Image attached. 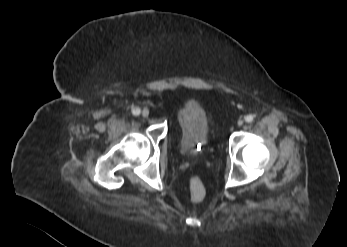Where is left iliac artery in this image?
<instances>
[{
  "instance_id": "obj_1",
  "label": "left iliac artery",
  "mask_w": 347,
  "mask_h": 247,
  "mask_svg": "<svg viewBox=\"0 0 347 247\" xmlns=\"http://www.w3.org/2000/svg\"><path fill=\"white\" fill-rule=\"evenodd\" d=\"M253 119H254V117H253L252 115H247V116L245 117V121L248 122V123L252 122Z\"/></svg>"
}]
</instances>
